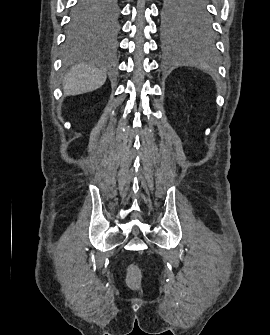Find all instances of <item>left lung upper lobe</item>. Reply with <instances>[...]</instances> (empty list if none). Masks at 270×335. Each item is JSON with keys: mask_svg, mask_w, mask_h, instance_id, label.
Wrapping results in <instances>:
<instances>
[{"mask_svg": "<svg viewBox=\"0 0 270 335\" xmlns=\"http://www.w3.org/2000/svg\"><path fill=\"white\" fill-rule=\"evenodd\" d=\"M207 0H163L162 28L166 33L209 31L211 19Z\"/></svg>", "mask_w": 270, "mask_h": 335, "instance_id": "5c2ea615", "label": "left lung upper lobe"}]
</instances>
